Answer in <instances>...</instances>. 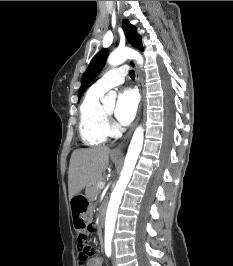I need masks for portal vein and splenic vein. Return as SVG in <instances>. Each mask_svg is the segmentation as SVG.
<instances>
[{"label": "portal vein and splenic vein", "instance_id": "18ae733b", "mask_svg": "<svg viewBox=\"0 0 233 266\" xmlns=\"http://www.w3.org/2000/svg\"><path fill=\"white\" fill-rule=\"evenodd\" d=\"M104 186H105V183H104L103 181H100V182L98 183V187H99L100 189H103Z\"/></svg>", "mask_w": 233, "mask_h": 266}]
</instances>
